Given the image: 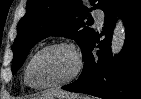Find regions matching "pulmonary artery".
<instances>
[{"label": "pulmonary artery", "mask_w": 141, "mask_h": 99, "mask_svg": "<svg viewBox=\"0 0 141 99\" xmlns=\"http://www.w3.org/2000/svg\"><path fill=\"white\" fill-rule=\"evenodd\" d=\"M93 15L97 24L99 25V27H101L103 24V18H104L103 13L101 11H95Z\"/></svg>", "instance_id": "obj_1"}]
</instances>
